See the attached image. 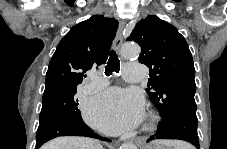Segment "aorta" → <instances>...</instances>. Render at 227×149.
<instances>
[{
  "instance_id": "obj_1",
  "label": "aorta",
  "mask_w": 227,
  "mask_h": 149,
  "mask_svg": "<svg viewBox=\"0 0 227 149\" xmlns=\"http://www.w3.org/2000/svg\"><path fill=\"white\" fill-rule=\"evenodd\" d=\"M140 52V48L137 45H126L123 47L122 55L124 58H133L136 57ZM122 149H135V146L132 143H125L122 146Z\"/></svg>"
}]
</instances>
